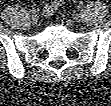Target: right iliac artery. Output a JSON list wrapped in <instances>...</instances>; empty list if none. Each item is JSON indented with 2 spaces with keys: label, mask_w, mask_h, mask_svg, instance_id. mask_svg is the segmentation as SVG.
<instances>
[{
  "label": "right iliac artery",
  "mask_w": 111,
  "mask_h": 106,
  "mask_svg": "<svg viewBox=\"0 0 111 106\" xmlns=\"http://www.w3.org/2000/svg\"><path fill=\"white\" fill-rule=\"evenodd\" d=\"M30 11H31V13L36 14L38 12V9L37 8H32Z\"/></svg>",
  "instance_id": "right-iliac-artery-1"
}]
</instances>
